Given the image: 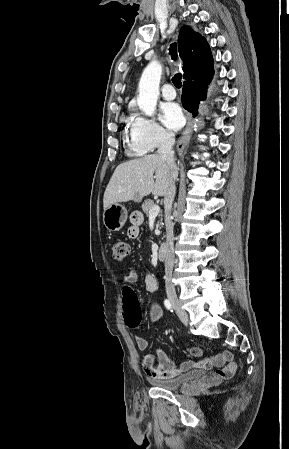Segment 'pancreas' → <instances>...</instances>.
I'll list each match as a JSON object with an SVG mask.
<instances>
[{"label": "pancreas", "mask_w": 289, "mask_h": 449, "mask_svg": "<svg viewBox=\"0 0 289 449\" xmlns=\"http://www.w3.org/2000/svg\"><path fill=\"white\" fill-rule=\"evenodd\" d=\"M155 206L154 202L152 200H145L142 204V210L143 212L148 215L149 211ZM162 217V215H161ZM157 226L158 227H162L163 226V222L162 220L157 222Z\"/></svg>", "instance_id": "cf45deb5"}]
</instances>
